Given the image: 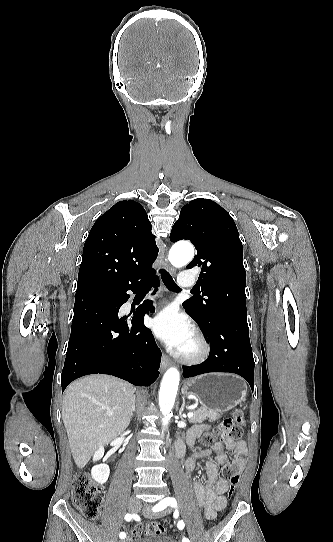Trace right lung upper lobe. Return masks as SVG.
Here are the masks:
<instances>
[{
  "mask_svg": "<svg viewBox=\"0 0 333 542\" xmlns=\"http://www.w3.org/2000/svg\"><path fill=\"white\" fill-rule=\"evenodd\" d=\"M151 228L139 203L123 200L112 206L94 223L83 251L101 248L112 252L114 259L102 267L81 265L77 290L125 288L140 280L145 266L153 263L159 252Z\"/></svg>",
  "mask_w": 333,
  "mask_h": 542,
  "instance_id": "cb5924a9",
  "label": "right lung upper lobe"
}]
</instances>
